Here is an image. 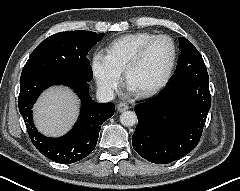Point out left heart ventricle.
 <instances>
[{"mask_svg": "<svg viewBox=\"0 0 240 191\" xmlns=\"http://www.w3.org/2000/svg\"><path fill=\"white\" fill-rule=\"evenodd\" d=\"M171 55L172 48L168 40L155 41L142 62L130 72L128 84L136 91L156 85L165 75Z\"/></svg>", "mask_w": 240, "mask_h": 191, "instance_id": "b2bd125f", "label": "left heart ventricle"}]
</instances>
